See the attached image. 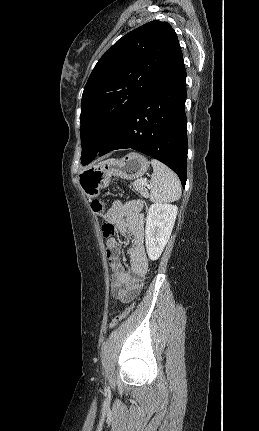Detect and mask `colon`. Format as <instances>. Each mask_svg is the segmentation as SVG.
Masks as SVG:
<instances>
[{
  "instance_id": "colon-1",
  "label": "colon",
  "mask_w": 259,
  "mask_h": 431,
  "mask_svg": "<svg viewBox=\"0 0 259 431\" xmlns=\"http://www.w3.org/2000/svg\"><path fill=\"white\" fill-rule=\"evenodd\" d=\"M91 208L94 213L98 215L99 219L105 218V210H106V203L101 200H94L91 203ZM115 232L114 225L112 223L106 222L102 225V234L105 238H110L113 236ZM134 304L128 305L122 312L117 314L110 322V328L114 329L118 327V325L127 317V315L130 313V311L133 309Z\"/></svg>"
}]
</instances>
